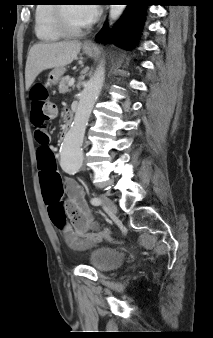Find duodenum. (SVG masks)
Masks as SVG:
<instances>
[{
	"label": "duodenum",
	"mask_w": 213,
	"mask_h": 338,
	"mask_svg": "<svg viewBox=\"0 0 213 338\" xmlns=\"http://www.w3.org/2000/svg\"><path fill=\"white\" fill-rule=\"evenodd\" d=\"M72 120H73V114L71 112L68 113L66 122L63 125L61 136L62 138H66L67 134L69 132V129L72 125Z\"/></svg>",
	"instance_id": "obj_1"
}]
</instances>
